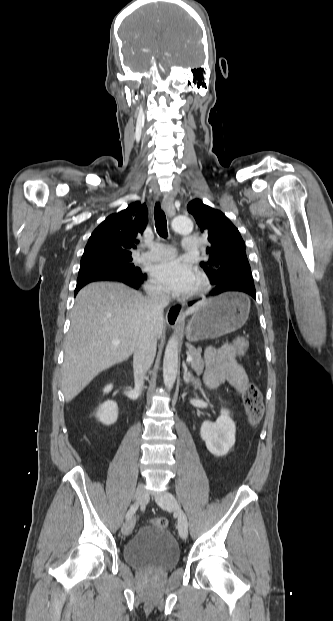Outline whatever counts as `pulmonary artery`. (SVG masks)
I'll list each match as a JSON object with an SVG mask.
<instances>
[{
    "label": "pulmonary artery",
    "mask_w": 333,
    "mask_h": 621,
    "mask_svg": "<svg viewBox=\"0 0 333 621\" xmlns=\"http://www.w3.org/2000/svg\"><path fill=\"white\" fill-rule=\"evenodd\" d=\"M200 247V242L197 237L194 236H186L183 239V249L186 252H196ZM174 249L163 243H155L149 247L147 252H144L140 255L139 261H157L162 259H167L173 256Z\"/></svg>",
    "instance_id": "obj_1"
}]
</instances>
